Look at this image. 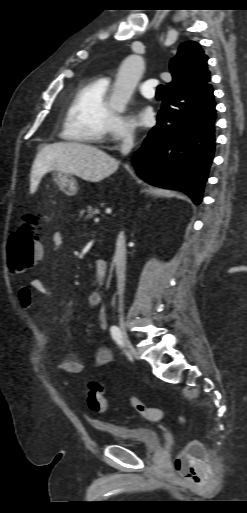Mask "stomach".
Returning <instances> with one entry per match:
<instances>
[{"mask_svg":"<svg viewBox=\"0 0 247 513\" xmlns=\"http://www.w3.org/2000/svg\"><path fill=\"white\" fill-rule=\"evenodd\" d=\"M56 184L68 195H74L78 191V184L72 174L54 170L52 172Z\"/></svg>","mask_w":247,"mask_h":513,"instance_id":"obj_1","label":"stomach"}]
</instances>
